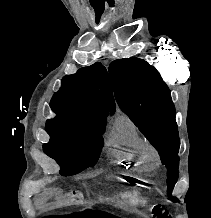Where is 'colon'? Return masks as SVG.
Masks as SVG:
<instances>
[{"mask_svg":"<svg viewBox=\"0 0 211 218\" xmlns=\"http://www.w3.org/2000/svg\"><path fill=\"white\" fill-rule=\"evenodd\" d=\"M119 196L123 199H126L132 204H142L146 201L142 193L137 189H123L119 191ZM71 197H79L78 192L73 191L69 194ZM166 218H169L168 215H165Z\"/></svg>","mask_w":211,"mask_h":218,"instance_id":"1","label":"colon"}]
</instances>
